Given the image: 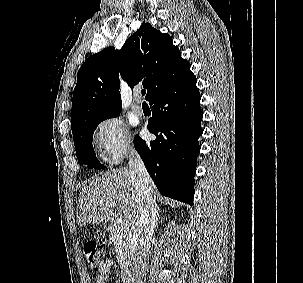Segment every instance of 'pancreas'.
<instances>
[{"instance_id":"1","label":"pancreas","mask_w":303,"mask_h":283,"mask_svg":"<svg viewBox=\"0 0 303 283\" xmlns=\"http://www.w3.org/2000/svg\"><path fill=\"white\" fill-rule=\"evenodd\" d=\"M111 241L116 248L120 268L127 269L131 265L135 249L132 243L131 230L122 224L117 225L111 231Z\"/></svg>"}]
</instances>
